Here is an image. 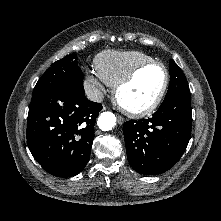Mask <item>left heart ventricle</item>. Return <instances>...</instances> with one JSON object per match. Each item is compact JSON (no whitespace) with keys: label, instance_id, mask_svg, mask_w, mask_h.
I'll list each match as a JSON object with an SVG mask.
<instances>
[{"label":"left heart ventricle","instance_id":"obj_1","mask_svg":"<svg viewBox=\"0 0 221 221\" xmlns=\"http://www.w3.org/2000/svg\"><path fill=\"white\" fill-rule=\"evenodd\" d=\"M163 82V69L158 66L148 67L120 91L119 97L130 108H143L155 99Z\"/></svg>","mask_w":221,"mask_h":221}]
</instances>
